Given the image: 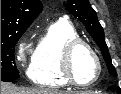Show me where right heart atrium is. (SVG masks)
Segmentation results:
<instances>
[{
    "label": "right heart atrium",
    "mask_w": 121,
    "mask_h": 94,
    "mask_svg": "<svg viewBox=\"0 0 121 94\" xmlns=\"http://www.w3.org/2000/svg\"><path fill=\"white\" fill-rule=\"evenodd\" d=\"M31 50L29 48L26 49V52L23 49H20L17 53L18 59L23 61L25 58V54H29Z\"/></svg>",
    "instance_id": "d8ad5b80"
}]
</instances>
